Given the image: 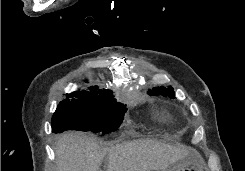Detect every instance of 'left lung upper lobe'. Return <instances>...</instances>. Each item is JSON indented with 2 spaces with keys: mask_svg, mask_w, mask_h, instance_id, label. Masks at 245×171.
<instances>
[{
  "mask_svg": "<svg viewBox=\"0 0 245 171\" xmlns=\"http://www.w3.org/2000/svg\"><path fill=\"white\" fill-rule=\"evenodd\" d=\"M148 94L156 95V96L157 95H164V96H169L171 98H174V96H175V93H174L172 87L165 88L163 86L149 90Z\"/></svg>",
  "mask_w": 245,
  "mask_h": 171,
  "instance_id": "1",
  "label": "left lung upper lobe"
}]
</instances>
